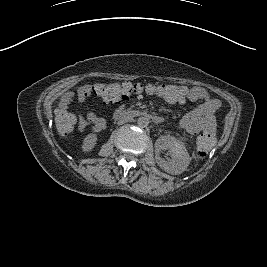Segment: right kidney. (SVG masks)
<instances>
[{
	"mask_svg": "<svg viewBox=\"0 0 267 267\" xmlns=\"http://www.w3.org/2000/svg\"><path fill=\"white\" fill-rule=\"evenodd\" d=\"M97 143V134L90 133L85 136L82 143V151L87 153L93 150Z\"/></svg>",
	"mask_w": 267,
	"mask_h": 267,
	"instance_id": "ca27d5eb",
	"label": "right kidney"
}]
</instances>
